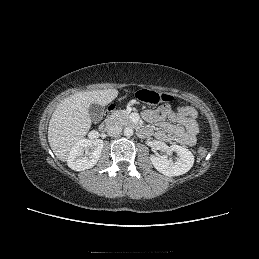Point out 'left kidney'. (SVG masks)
<instances>
[{
    "mask_svg": "<svg viewBox=\"0 0 259 259\" xmlns=\"http://www.w3.org/2000/svg\"><path fill=\"white\" fill-rule=\"evenodd\" d=\"M169 152H175L177 161L167 156H150V160L157 171L166 176H179L188 172L194 164V155L187 148L179 145L169 147Z\"/></svg>",
    "mask_w": 259,
    "mask_h": 259,
    "instance_id": "5707ae66",
    "label": "left kidney"
}]
</instances>
